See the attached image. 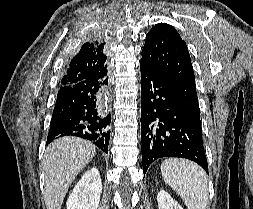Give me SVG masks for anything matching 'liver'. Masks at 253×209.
<instances>
[{
	"mask_svg": "<svg viewBox=\"0 0 253 209\" xmlns=\"http://www.w3.org/2000/svg\"><path fill=\"white\" fill-rule=\"evenodd\" d=\"M95 151L92 143L72 136L59 138L47 146L43 159L47 209H61L69 187L95 156Z\"/></svg>",
	"mask_w": 253,
	"mask_h": 209,
	"instance_id": "liver-1",
	"label": "liver"
}]
</instances>
